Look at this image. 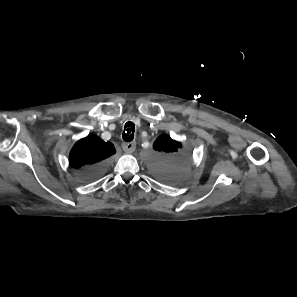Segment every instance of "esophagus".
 Segmentation results:
<instances>
[{
    "mask_svg": "<svg viewBox=\"0 0 297 297\" xmlns=\"http://www.w3.org/2000/svg\"><path fill=\"white\" fill-rule=\"evenodd\" d=\"M122 148L126 153H132L136 148L135 142H124Z\"/></svg>",
    "mask_w": 297,
    "mask_h": 297,
    "instance_id": "34e87169",
    "label": "esophagus"
}]
</instances>
